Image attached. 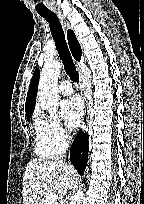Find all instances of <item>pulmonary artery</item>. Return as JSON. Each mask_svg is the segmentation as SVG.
I'll use <instances>...</instances> for the list:
<instances>
[{
	"label": "pulmonary artery",
	"instance_id": "1",
	"mask_svg": "<svg viewBox=\"0 0 144 204\" xmlns=\"http://www.w3.org/2000/svg\"><path fill=\"white\" fill-rule=\"evenodd\" d=\"M59 92L63 95H70L73 92V87L69 81H62L59 85Z\"/></svg>",
	"mask_w": 144,
	"mask_h": 204
}]
</instances>
